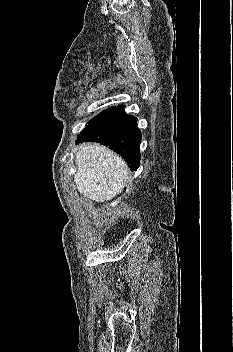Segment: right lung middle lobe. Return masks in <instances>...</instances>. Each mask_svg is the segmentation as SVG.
Returning a JSON list of instances; mask_svg holds the SVG:
<instances>
[{"label":"right lung middle lobe","instance_id":"right-lung-middle-lobe-1","mask_svg":"<svg viewBox=\"0 0 233 352\" xmlns=\"http://www.w3.org/2000/svg\"><path fill=\"white\" fill-rule=\"evenodd\" d=\"M110 109H111V108H109V109H107V110L101 112V113L98 114L97 116H95L92 120H90V121L88 122V124H90L92 121H94L96 118H98L100 115L104 114L105 112H107V111L110 110Z\"/></svg>","mask_w":233,"mask_h":352}]
</instances>
